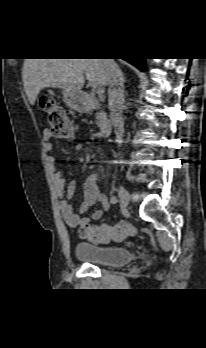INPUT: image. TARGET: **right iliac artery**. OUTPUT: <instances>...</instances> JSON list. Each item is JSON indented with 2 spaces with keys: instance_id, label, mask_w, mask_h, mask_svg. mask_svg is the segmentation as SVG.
Listing matches in <instances>:
<instances>
[{
  "instance_id": "82829eb1",
  "label": "right iliac artery",
  "mask_w": 206,
  "mask_h": 348,
  "mask_svg": "<svg viewBox=\"0 0 206 348\" xmlns=\"http://www.w3.org/2000/svg\"><path fill=\"white\" fill-rule=\"evenodd\" d=\"M110 201H111V203H117V198L115 197V196H113V197H111V199H110Z\"/></svg>"
}]
</instances>
